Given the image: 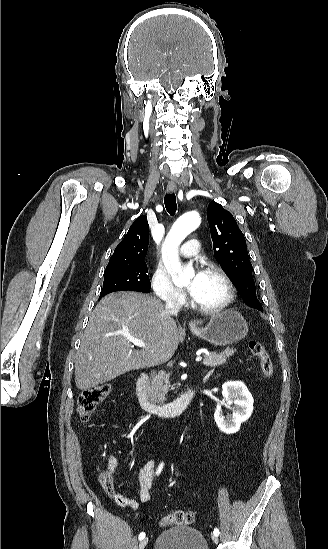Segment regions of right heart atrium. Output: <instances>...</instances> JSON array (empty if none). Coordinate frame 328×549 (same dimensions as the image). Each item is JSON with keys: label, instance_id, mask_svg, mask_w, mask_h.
Segmentation results:
<instances>
[{"label": "right heart atrium", "instance_id": "1", "mask_svg": "<svg viewBox=\"0 0 328 549\" xmlns=\"http://www.w3.org/2000/svg\"><path fill=\"white\" fill-rule=\"evenodd\" d=\"M155 238L152 237V240ZM150 286L157 297L155 303H184L183 293L174 285L170 274L159 263L152 265Z\"/></svg>", "mask_w": 328, "mask_h": 549}]
</instances>
